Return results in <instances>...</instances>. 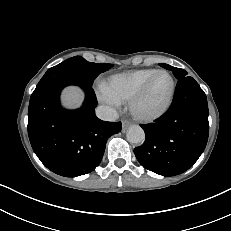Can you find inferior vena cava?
Masks as SVG:
<instances>
[{
    "mask_svg": "<svg viewBox=\"0 0 231 231\" xmlns=\"http://www.w3.org/2000/svg\"><path fill=\"white\" fill-rule=\"evenodd\" d=\"M96 116L104 121H115L118 118V114L113 108L103 105L97 107Z\"/></svg>",
    "mask_w": 231,
    "mask_h": 231,
    "instance_id": "obj_1",
    "label": "inferior vena cava"
}]
</instances>
